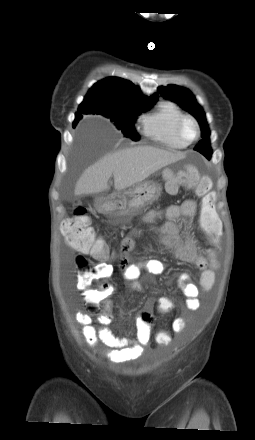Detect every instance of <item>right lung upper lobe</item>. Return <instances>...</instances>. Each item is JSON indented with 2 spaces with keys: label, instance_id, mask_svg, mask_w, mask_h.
Segmentation results:
<instances>
[{
  "label": "right lung upper lobe",
  "instance_id": "right-lung-upper-lobe-1",
  "mask_svg": "<svg viewBox=\"0 0 255 440\" xmlns=\"http://www.w3.org/2000/svg\"><path fill=\"white\" fill-rule=\"evenodd\" d=\"M85 98L99 100L110 104H133L156 102L158 94L151 97L142 95L140 89L130 81L122 78H106L95 83ZM79 120L76 113L74 124Z\"/></svg>",
  "mask_w": 255,
  "mask_h": 440
}]
</instances>
